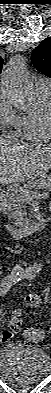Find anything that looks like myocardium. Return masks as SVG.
I'll return each instance as SVG.
<instances>
[{
    "instance_id": "f54148a6",
    "label": "myocardium",
    "mask_w": 51,
    "mask_h": 393,
    "mask_svg": "<svg viewBox=\"0 0 51 393\" xmlns=\"http://www.w3.org/2000/svg\"><path fill=\"white\" fill-rule=\"evenodd\" d=\"M44 121L47 129H51V103L44 111Z\"/></svg>"
}]
</instances>
